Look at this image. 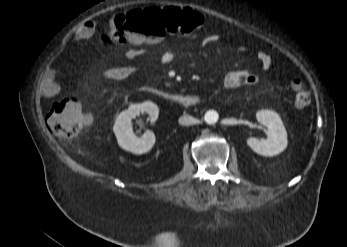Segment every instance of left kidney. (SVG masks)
I'll return each mask as SVG.
<instances>
[{"instance_id": "5707ae66", "label": "left kidney", "mask_w": 347, "mask_h": 247, "mask_svg": "<svg viewBox=\"0 0 347 247\" xmlns=\"http://www.w3.org/2000/svg\"><path fill=\"white\" fill-rule=\"evenodd\" d=\"M258 122L268 128L267 139L250 137L248 146L256 153L263 156H274L283 152L288 144L287 131L279 115L270 110H261L256 114Z\"/></svg>"}]
</instances>
